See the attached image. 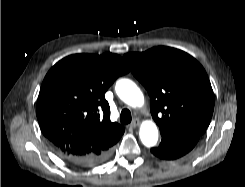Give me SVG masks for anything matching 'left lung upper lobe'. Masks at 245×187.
Wrapping results in <instances>:
<instances>
[{
    "label": "left lung upper lobe",
    "mask_w": 245,
    "mask_h": 187,
    "mask_svg": "<svg viewBox=\"0 0 245 187\" xmlns=\"http://www.w3.org/2000/svg\"><path fill=\"white\" fill-rule=\"evenodd\" d=\"M147 89L161 134L203 135L214 110L213 90L201 64L171 47L123 56Z\"/></svg>",
    "instance_id": "left-lung-upper-lobe-1"
}]
</instances>
